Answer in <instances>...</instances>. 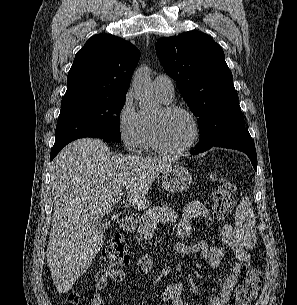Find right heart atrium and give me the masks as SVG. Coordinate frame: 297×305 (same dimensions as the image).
<instances>
[{
    "label": "right heart atrium",
    "mask_w": 297,
    "mask_h": 305,
    "mask_svg": "<svg viewBox=\"0 0 297 305\" xmlns=\"http://www.w3.org/2000/svg\"><path fill=\"white\" fill-rule=\"evenodd\" d=\"M117 130L121 141L129 152L137 151L141 146L143 134V116L137 110L132 91L125 93L116 115Z\"/></svg>",
    "instance_id": "right-heart-atrium-1"
}]
</instances>
